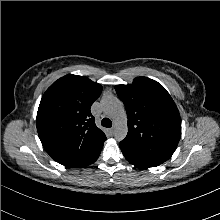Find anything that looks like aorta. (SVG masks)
Wrapping results in <instances>:
<instances>
[{"label":"aorta","instance_id":"762f6f07","mask_svg":"<svg viewBox=\"0 0 220 220\" xmlns=\"http://www.w3.org/2000/svg\"><path fill=\"white\" fill-rule=\"evenodd\" d=\"M103 110L113 119V134L116 140H123L127 133V115L122 102L116 97H104L101 101Z\"/></svg>","mask_w":220,"mask_h":220}]
</instances>
